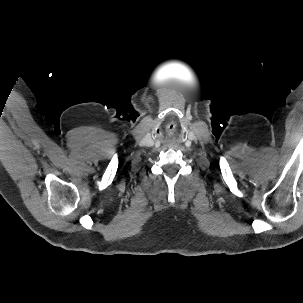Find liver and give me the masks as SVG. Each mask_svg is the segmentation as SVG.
<instances>
[{
  "mask_svg": "<svg viewBox=\"0 0 303 303\" xmlns=\"http://www.w3.org/2000/svg\"><path fill=\"white\" fill-rule=\"evenodd\" d=\"M0 135H2V133L0 132ZM0 149L2 150V144L0 145Z\"/></svg>",
  "mask_w": 303,
  "mask_h": 303,
  "instance_id": "1",
  "label": "liver"
}]
</instances>
